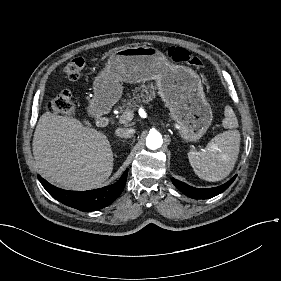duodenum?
Masks as SVG:
<instances>
[{"label":"duodenum","instance_id":"duodenum-1","mask_svg":"<svg viewBox=\"0 0 281 281\" xmlns=\"http://www.w3.org/2000/svg\"><path fill=\"white\" fill-rule=\"evenodd\" d=\"M111 122V117L107 113H102L96 116L95 123L99 127H104L109 125Z\"/></svg>","mask_w":281,"mask_h":281}]
</instances>
